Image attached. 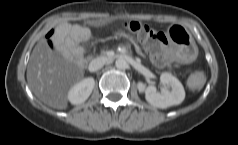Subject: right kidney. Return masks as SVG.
Returning <instances> with one entry per match:
<instances>
[{"mask_svg":"<svg viewBox=\"0 0 238 145\" xmlns=\"http://www.w3.org/2000/svg\"><path fill=\"white\" fill-rule=\"evenodd\" d=\"M95 81L92 77L85 78L76 83L68 92V100L73 105L84 103L91 95Z\"/></svg>","mask_w":238,"mask_h":145,"instance_id":"right-kidney-1","label":"right kidney"}]
</instances>
